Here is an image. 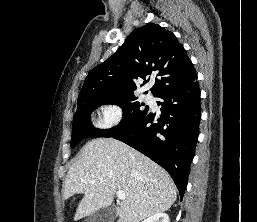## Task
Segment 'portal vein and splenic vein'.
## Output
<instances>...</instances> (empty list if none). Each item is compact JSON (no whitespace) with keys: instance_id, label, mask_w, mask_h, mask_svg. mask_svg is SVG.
<instances>
[{"instance_id":"portal-vein-and-splenic-vein-1","label":"portal vein and splenic vein","mask_w":257,"mask_h":222,"mask_svg":"<svg viewBox=\"0 0 257 222\" xmlns=\"http://www.w3.org/2000/svg\"><path fill=\"white\" fill-rule=\"evenodd\" d=\"M117 197H118L119 199H124V198H125V193H124V191H121V190L117 191Z\"/></svg>"}]
</instances>
